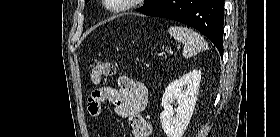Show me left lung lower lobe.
<instances>
[{"mask_svg":"<svg viewBox=\"0 0 280 137\" xmlns=\"http://www.w3.org/2000/svg\"><path fill=\"white\" fill-rule=\"evenodd\" d=\"M223 6L224 0H163L143 14L176 20L197 29L223 55Z\"/></svg>","mask_w":280,"mask_h":137,"instance_id":"0a47b994","label":"left lung lower lobe"}]
</instances>
